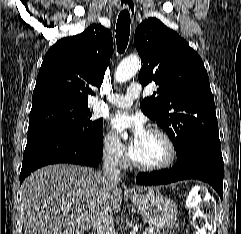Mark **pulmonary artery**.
Listing matches in <instances>:
<instances>
[{
    "mask_svg": "<svg viewBox=\"0 0 241 234\" xmlns=\"http://www.w3.org/2000/svg\"><path fill=\"white\" fill-rule=\"evenodd\" d=\"M141 85L138 83L131 84L125 94H112L106 97L105 101L113 106L120 108L130 107L134 99L141 94Z\"/></svg>",
    "mask_w": 241,
    "mask_h": 234,
    "instance_id": "pulmonary-artery-1",
    "label": "pulmonary artery"
}]
</instances>
